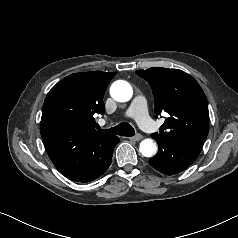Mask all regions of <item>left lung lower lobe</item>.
Returning <instances> with one entry per match:
<instances>
[{
    "label": "left lung lower lobe",
    "instance_id": "1",
    "mask_svg": "<svg viewBox=\"0 0 238 238\" xmlns=\"http://www.w3.org/2000/svg\"><path fill=\"white\" fill-rule=\"evenodd\" d=\"M156 142L158 153L149 160V164L167 175L185 170L196 160L201 151V149L171 140H156Z\"/></svg>",
    "mask_w": 238,
    "mask_h": 238
}]
</instances>
